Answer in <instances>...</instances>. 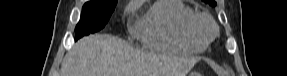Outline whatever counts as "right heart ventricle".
I'll return each mask as SVG.
<instances>
[{"instance_id":"e07e8e85","label":"right heart ventricle","mask_w":287,"mask_h":76,"mask_svg":"<svg viewBox=\"0 0 287 76\" xmlns=\"http://www.w3.org/2000/svg\"><path fill=\"white\" fill-rule=\"evenodd\" d=\"M195 12L181 0H162L154 4L134 29L142 44L152 50L196 54L205 43L191 32Z\"/></svg>"}]
</instances>
